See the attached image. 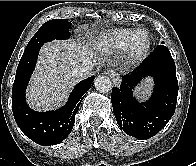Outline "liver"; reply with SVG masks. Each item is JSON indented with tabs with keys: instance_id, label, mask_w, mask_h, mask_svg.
<instances>
[{
	"instance_id": "1",
	"label": "liver",
	"mask_w": 196,
	"mask_h": 166,
	"mask_svg": "<svg viewBox=\"0 0 196 166\" xmlns=\"http://www.w3.org/2000/svg\"><path fill=\"white\" fill-rule=\"evenodd\" d=\"M106 42L81 46L76 41H53L43 45L27 91V102L35 110L58 106L79 80L75 68L98 64L106 52Z\"/></svg>"
}]
</instances>
